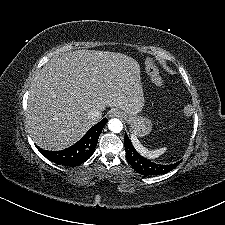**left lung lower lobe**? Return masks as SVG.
I'll return each mask as SVG.
<instances>
[{
    "mask_svg": "<svg viewBox=\"0 0 225 225\" xmlns=\"http://www.w3.org/2000/svg\"><path fill=\"white\" fill-rule=\"evenodd\" d=\"M124 146L129 164L141 175L150 176L164 174L176 168L181 162L163 165L147 160L135 150L127 134H125L124 137Z\"/></svg>",
    "mask_w": 225,
    "mask_h": 225,
    "instance_id": "obj_1",
    "label": "left lung lower lobe"
}]
</instances>
